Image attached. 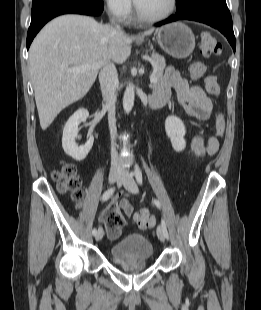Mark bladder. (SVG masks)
<instances>
[{"label": "bladder", "instance_id": "bladder-1", "mask_svg": "<svg viewBox=\"0 0 261 310\" xmlns=\"http://www.w3.org/2000/svg\"><path fill=\"white\" fill-rule=\"evenodd\" d=\"M110 253L116 260L146 261L153 255V246L145 235L130 233L115 242Z\"/></svg>", "mask_w": 261, "mask_h": 310}]
</instances>
